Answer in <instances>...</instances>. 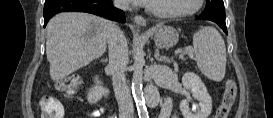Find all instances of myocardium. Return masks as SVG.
Instances as JSON below:
<instances>
[{"label":"myocardium","mask_w":273,"mask_h":118,"mask_svg":"<svg viewBox=\"0 0 273 118\" xmlns=\"http://www.w3.org/2000/svg\"><path fill=\"white\" fill-rule=\"evenodd\" d=\"M203 2L204 0H195V4L191 9L180 12H160L157 11L151 4H147L146 9L149 11V13L156 17L163 19H175L195 14L201 9Z\"/></svg>","instance_id":"myocardium-1"}]
</instances>
